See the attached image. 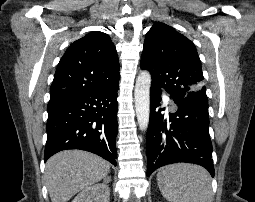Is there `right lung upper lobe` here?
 <instances>
[{"label":"right lung upper lobe","instance_id":"obj_1","mask_svg":"<svg viewBox=\"0 0 255 202\" xmlns=\"http://www.w3.org/2000/svg\"><path fill=\"white\" fill-rule=\"evenodd\" d=\"M119 81V61L110 37L94 31L75 41L61 58L50 100L108 88Z\"/></svg>","mask_w":255,"mask_h":202}]
</instances>
